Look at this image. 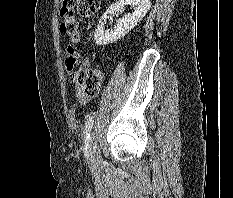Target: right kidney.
Segmentation results:
<instances>
[{
  "label": "right kidney",
  "mask_w": 233,
  "mask_h": 198,
  "mask_svg": "<svg viewBox=\"0 0 233 198\" xmlns=\"http://www.w3.org/2000/svg\"><path fill=\"white\" fill-rule=\"evenodd\" d=\"M134 7V12L128 13L125 18L120 19L114 29L104 30L107 16L113 15L116 11L123 10L126 6ZM151 7L150 0H119L110 5L99 21V25L94 32V40L97 45H107L116 42L133 29L147 14Z\"/></svg>",
  "instance_id": "right-kidney-1"
}]
</instances>
